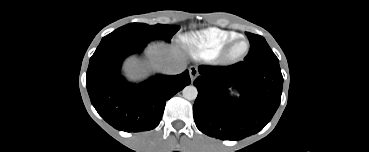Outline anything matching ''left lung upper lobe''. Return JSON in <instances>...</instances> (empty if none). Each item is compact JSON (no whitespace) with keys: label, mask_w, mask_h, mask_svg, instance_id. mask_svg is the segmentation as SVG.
<instances>
[{"label":"left lung upper lobe","mask_w":369,"mask_h":152,"mask_svg":"<svg viewBox=\"0 0 369 152\" xmlns=\"http://www.w3.org/2000/svg\"><path fill=\"white\" fill-rule=\"evenodd\" d=\"M250 41V51L244 61L259 62V61H275L279 62L273 51L270 49L266 40L259 35L245 33Z\"/></svg>","instance_id":"obj_1"}]
</instances>
